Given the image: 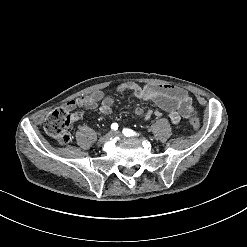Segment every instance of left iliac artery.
<instances>
[{"label": "left iliac artery", "mask_w": 247, "mask_h": 247, "mask_svg": "<svg viewBox=\"0 0 247 247\" xmlns=\"http://www.w3.org/2000/svg\"><path fill=\"white\" fill-rule=\"evenodd\" d=\"M122 132H123V134H124L125 136H127V137H131V136H136V135H137L136 132H134L133 130L128 129V128L123 129ZM138 135H139V134H138Z\"/></svg>", "instance_id": "44dca946"}]
</instances>
